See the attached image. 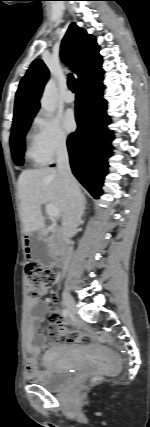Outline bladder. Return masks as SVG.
<instances>
[{"label": "bladder", "mask_w": 150, "mask_h": 427, "mask_svg": "<svg viewBox=\"0 0 150 427\" xmlns=\"http://www.w3.org/2000/svg\"><path fill=\"white\" fill-rule=\"evenodd\" d=\"M73 367L64 359H48L45 364L46 376L37 385L55 391L65 386L72 378Z\"/></svg>", "instance_id": "bladder-1"}]
</instances>
